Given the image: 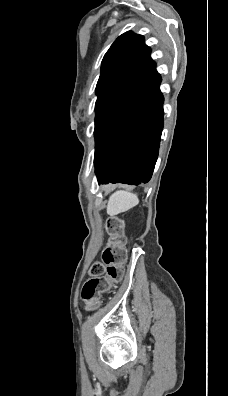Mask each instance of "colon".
I'll list each match as a JSON object with an SVG mask.
<instances>
[{
  "instance_id": "obj_1",
  "label": "colon",
  "mask_w": 228,
  "mask_h": 396,
  "mask_svg": "<svg viewBox=\"0 0 228 396\" xmlns=\"http://www.w3.org/2000/svg\"><path fill=\"white\" fill-rule=\"evenodd\" d=\"M109 241L102 253V262H95L90 268V278L85 282L81 297L88 309H95L101 296L108 291L111 284L118 282L123 273L127 259L123 246L124 235L122 222L119 218L107 221Z\"/></svg>"
}]
</instances>
